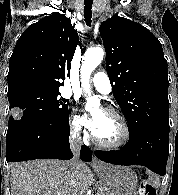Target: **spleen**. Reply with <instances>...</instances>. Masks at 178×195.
I'll return each mask as SVG.
<instances>
[{
    "label": "spleen",
    "mask_w": 178,
    "mask_h": 195,
    "mask_svg": "<svg viewBox=\"0 0 178 195\" xmlns=\"http://www.w3.org/2000/svg\"><path fill=\"white\" fill-rule=\"evenodd\" d=\"M149 183L153 188H157L159 186V179L157 177H149Z\"/></svg>",
    "instance_id": "spleen-1"
}]
</instances>
